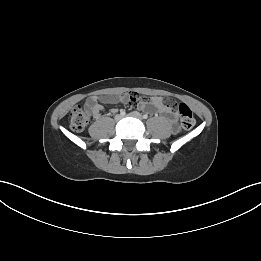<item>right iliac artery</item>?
Instances as JSON below:
<instances>
[{"instance_id":"1","label":"right iliac artery","mask_w":261,"mask_h":261,"mask_svg":"<svg viewBox=\"0 0 261 261\" xmlns=\"http://www.w3.org/2000/svg\"><path fill=\"white\" fill-rule=\"evenodd\" d=\"M125 114H126L125 110L120 111V115L125 116Z\"/></svg>"}]
</instances>
